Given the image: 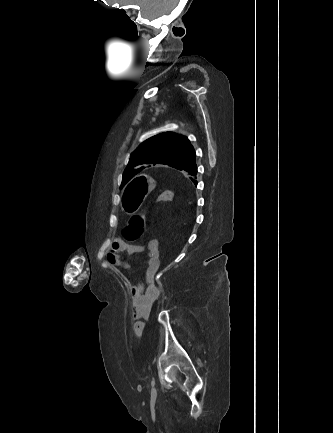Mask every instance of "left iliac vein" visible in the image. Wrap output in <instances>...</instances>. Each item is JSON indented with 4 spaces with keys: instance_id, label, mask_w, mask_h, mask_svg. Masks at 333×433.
<instances>
[{
    "instance_id": "left-iliac-vein-1",
    "label": "left iliac vein",
    "mask_w": 333,
    "mask_h": 433,
    "mask_svg": "<svg viewBox=\"0 0 333 433\" xmlns=\"http://www.w3.org/2000/svg\"><path fill=\"white\" fill-rule=\"evenodd\" d=\"M151 393H152V395H154V396L156 395V393H157V390H156V388H155V387H153V388H152V390H151Z\"/></svg>"
}]
</instances>
